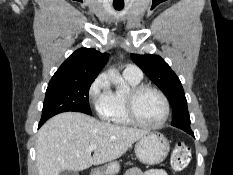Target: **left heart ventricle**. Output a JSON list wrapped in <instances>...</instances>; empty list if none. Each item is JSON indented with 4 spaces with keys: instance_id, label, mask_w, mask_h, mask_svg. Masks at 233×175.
Masks as SVG:
<instances>
[{
    "instance_id": "1",
    "label": "left heart ventricle",
    "mask_w": 233,
    "mask_h": 175,
    "mask_svg": "<svg viewBox=\"0 0 233 175\" xmlns=\"http://www.w3.org/2000/svg\"><path fill=\"white\" fill-rule=\"evenodd\" d=\"M138 118L148 124L159 122L164 115V105L160 96L151 90L142 92L136 101Z\"/></svg>"
}]
</instances>
